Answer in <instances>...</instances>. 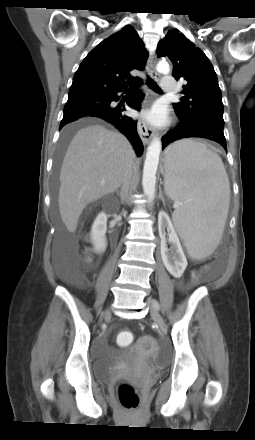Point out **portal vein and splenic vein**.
Returning <instances> with one entry per match:
<instances>
[{
    "label": "portal vein and splenic vein",
    "mask_w": 255,
    "mask_h": 440,
    "mask_svg": "<svg viewBox=\"0 0 255 440\" xmlns=\"http://www.w3.org/2000/svg\"><path fill=\"white\" fill-rule=\"evenodd\" d=\"M179 207V204H174V208H178Z\"/></svg>",
    "instance_id": "obj_1"
}]
</instances>
